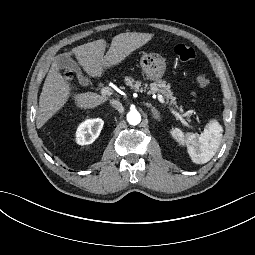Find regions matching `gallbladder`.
I'll return each instance as SVG.
<instances>
[{"mask_svg":"<svg viewBox=\"0 0 255 255\" xmlns=\"http://www.w3.org/2000/svg\"><path fill=\"white\" fill-rule=\"evenodd\" d=\"M56 61L60 69H68L72 71L81 85L85 86L86 82L89 83V79L82 74L81 68L79 67L77 62L72 58L70 53L65 52L57 55Z\"/></svg>","mask_w":255,"mask_h":255,"instance_id":"obj_1","label":"gallbladder"}]
</instances>
